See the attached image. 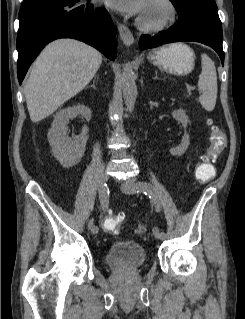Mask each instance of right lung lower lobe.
I'll return each mask as SVG.
<instances>
[{
  "instance_id": "1",
  "label": "right lung lower lobe",
  "mask_w": 245,
  "mask_h": 319,
  "mask_svg": "<svg viewBox=\"0 0 245 319\" xmlns=\"http://www.w3.org/2000/svg\"><path fill=\"white\" fill-rule=\"evenodd\" d=\"M90 0H32L19 11L17 36L19 83L43 47L57 38L81 40L114 60L117 40L105 8Z\"/></svg>"
}]
</instances>
